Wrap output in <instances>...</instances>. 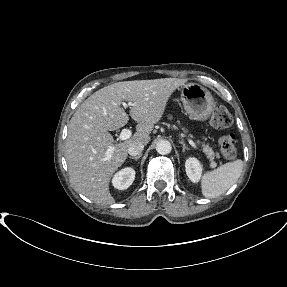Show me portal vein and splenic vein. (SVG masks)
Listing matches in <instances>:
<instances>
[{
	"instance_id": "1",
	"label": "portal vein and splenic vein",
	"mask_w": 287,
	"mask_h": 287,
	"mask_svg": "<svg viewBox=\"0 0 287 287\" xmlns=\"http://www.w3.org/2000/svg\"><path fill=\"white\" fill-rule=\"evenodd\" d=\"M122 105H123L124 108H127L128 106H131L132 103L129 102V103L127 104V103L123 102ZM131 136H132L131 130L128 129V128H124V129H122V131H121V133H120L119 139L122 140V141H124V140L129 139ZM188 142H189V144H190L193 148L198 149V147H197V145L194 143V141H192L191 139H188ZM112 152H113V148L111 147V148L108 149L107 155L110 156ZM211 166H212V167H216V163H214V162L211 163Z\"/></svg>"
}]
</instances>
